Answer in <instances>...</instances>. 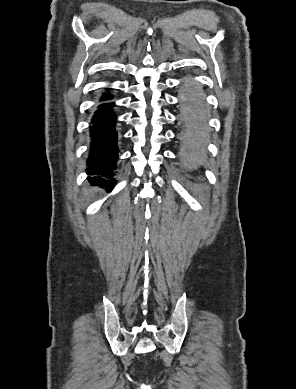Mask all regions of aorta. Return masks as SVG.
Masks as SVG:
<instances>
[{
  "mask_svg": "<svg viewBox=\"0 0 296 389\" xmlns=\"http://www.w3.org/2000/svg\"><path fill=\"white\" fill-rule=\"evenodd\" d=\"M183 95L184 132L188 134L182 139L178 154L185 166H196L199 162H206L209 153L206 150L209 134L207 131L208 106L207 95L202 90L199 81H190Z\"/></svg>",
  "mask_w": 296,
  "mask_h": 389,
  "instance_id": "762f6f07",
  "label": "aorta"
}]
</instances>
